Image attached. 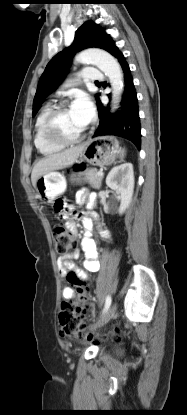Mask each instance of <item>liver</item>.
<instances>
[{
  "label": "liver",
  "instance_id": "liver-1",
  "mask_svg": "<svg viewBox=\"0 0 187 415\" xmlns=\"http://www.w3.org/2000/svg\"><path fill=\"white\" fill-rule=\"evenodd\" d=\"M83 149V145H79L66 149L62 152L48 155L39 160L34 165L31 174V181L33 186H35L37 180L44 174L66 168L74 164Z\"/></svg>",
  "mask_w": 187,
  "mask_h": 415
}]
</instances>
